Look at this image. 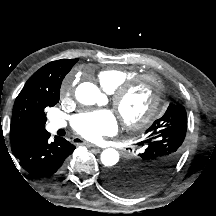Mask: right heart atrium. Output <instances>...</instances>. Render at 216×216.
I'll return each instance as SVG.
<instances>
[{
	"mask_svg": "<svg viewBox=\"0 0 216 216\" xmlns=\"http://www.w3.org/2000/svg\"><path fill=\"white\" fill-rule=\"evenodd\" d=\"M73 89V79L71 77L67 78L62 85V91L65 94H70Z\"/></svg>",
	"mask_w": 216,
	"mask_h": 216,
	"instance_id": "obj_1",
	"label": "right heart atrium"
}]
</instances>
